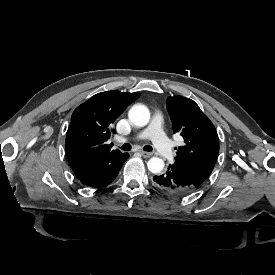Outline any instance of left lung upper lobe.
Returning a JSON list of instances; mask_svg holds the SVG:
<instances>
[{
    "label": "left lung upper lobe",
    "mask_w": 275,
    "mask_h": 275,
    "mask_svg": "<svg viewBox=\"0 0 275 275\" xmlns=\"http://www.w3.org/2000/svg\"><path fill=\"white\" fill-rule=\"evenodd\" d=\"M174 133L185 142L177 149L174 167L198 188L210 175L219 153V138L210 119L193 100L182 96L167 98Z\"/></svg>",
    "instance_id": "obj_1"
}]
</instances>
